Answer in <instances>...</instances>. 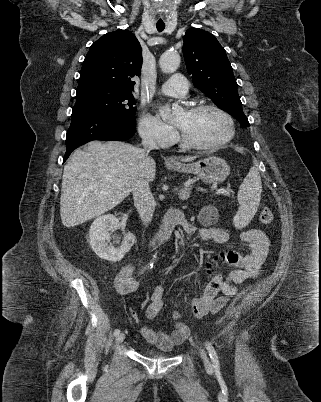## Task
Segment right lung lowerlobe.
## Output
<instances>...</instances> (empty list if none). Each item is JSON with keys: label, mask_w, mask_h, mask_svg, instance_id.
Masks as SVG:
<instances>
[{"label": "right lung lower lobe", "mask_w": 321, "mask_h": 402, "mask_svg": "<svg viewBox=\"0 0 321 402\" xmlns=\"http://www.w3.org/2000/svg\"><path fill=\"white\" fill-rule=\"evenodd\" d=\"M136 131L135 118H108L98 116H77L71 119L66 135V153L63 162L80 145L92 140H126Z\"/></svg>", "instance_id": "1"}]
</instances>
